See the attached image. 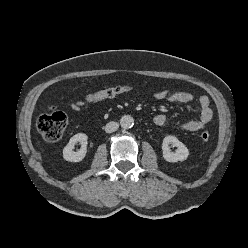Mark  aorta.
<instances>
[{
  "label": "aorta",
  "mask_w": 248,
  "mask_h": 248,
  "mask_svg": "<svg viewBox=\"0 0 248 248\" xmlns=\"http://www.w3.org/2000/svg\"><path fill=\"white\" fill-rule=\"evenodd\" d=\"M133 125H134V119H133L132 116L124 115V116L121 117L120 126L123 129H129V128L133 127Z\"/></svg>",
  "instance_id": "aorta-1"
}]
</instances>
